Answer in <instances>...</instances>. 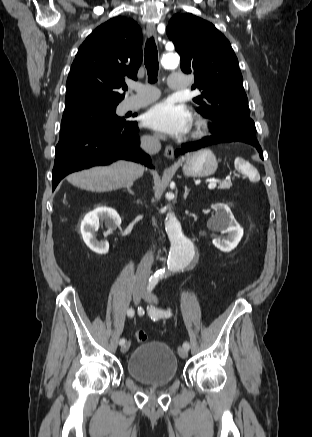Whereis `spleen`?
Segmentation results:
<instances>
[{"label":"spleen","mask_w":312,"mask_h":437,"mask_svg":"<svg viewBox=\"0 0 312 437\" xmlns=\"http://www.w3.org/2000/svg\"><path fill=\"white\" fill-rule=\"evenodd\" d=\"M235 164V168L247 175H249V177L252 180L258 181L259 180V176L257 175V173L253 172L249 163L246 162L244 159L237 157L234 161Z\"/></svg>","instance_id":"spleen-1"}]
</instances>
